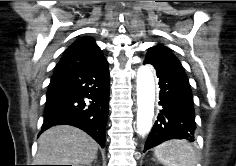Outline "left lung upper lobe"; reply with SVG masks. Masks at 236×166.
Listing matches in <instances>:
<instances>
[{
    "instance_id": "5c2ea615",
    "label": "left lung upper lobe",
    "mask_w": 236,
    "mask_h": 166,
    "mask_svg": "<svg viewBox=\"0 0 236 166\" xmlns=\"http://www.w3.org/2000/svg\"><path fill=\"white\" fill-rule=\"evenodd\" d=\"M164 56L175 57L169 48L164 47L163 45H157V46H153L149 48L146 58L152 59V58H158V57H164Z\"/></svg>"
}]
</instances>
